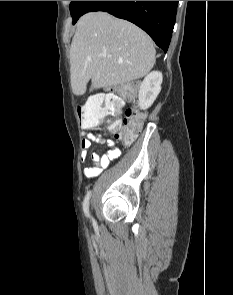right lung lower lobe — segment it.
<instances>
[{"instance_id": "obj_1", "label": "right lung lower lobe", "mask_w": 233, "mask_h": 295, "mask_svg": "<svg viewBox=\"0 0 233 295\" xmlns=\"http://www.w3.org/2000/svg\"><path fill=\"white\" fill-rule=\"evenodd\" d=\"M178 1H87L82 15L108 12L136 24L167 52L175 24Z\"/></svg>"}]
</instances>
